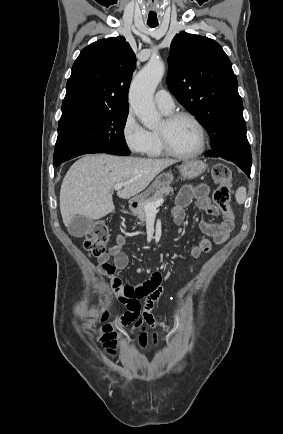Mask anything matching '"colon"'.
I'll list each match as a JSON object with an SVG mask.
<instances>
[{
	"label": "colon",
	"instance_id": "colon-1",
	"mask_svg": "<svg viewBox=\"0 0 283 434\" xmlns=\"http://www.w3.org/2000/svg\"><path fill=\"white\" fill-rule=\"evenodd\" d=\"M212 177L217 183L213 193V201L226 220H233L231 202V171L224 164H216L212 168ZM109 240V231L104 221L98 222L85 236L84 247L94 256L105 254ZM104 319V316L102 317Z\"/></svg>",
	"mask_w": 283,
	"mask_h": 434
}]
</instances>
